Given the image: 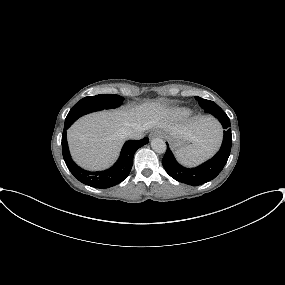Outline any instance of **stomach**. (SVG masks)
<instances>
[{
    "instance_id": "0dacf381",
    "label": "stomach",
    "mask_w": 285,
    "mask_h": 285,
    "mask_svg": "<svg viewBox=\"0 0 285 285\" xmlns=\"http://www.w3.org/2000/svg\"><path fill=\"white\" fill-rule=\"evenodd\" d=\"M171 141H172V146L174 148H184L186 147V145L188 143H190L189 141L183 139V138H178V137H173L171 135H169Z\"/></svg>"
}]
</instances>
